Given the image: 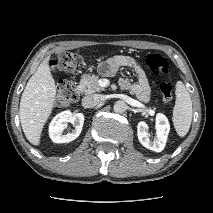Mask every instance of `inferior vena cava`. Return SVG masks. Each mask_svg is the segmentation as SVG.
Returning <instances> with one entry per match:
<instances>
[{
  "label": "inferior vena cava",
  "instance_id": "obj_1",
  "mask_svg": "<svg viewBox=\"0 0 213 213\" xmlns=\"http://www.w3.org/2000/svg\"><path fill=\"white\" fill-rule=\"evenodd\" d=\"M106 100L105 95L102 94H93L85 96L82 99V105L85 108H93Z\"/></svg>",
  "mask_w": 213,
  "mask_h": 213
}]
</instances>
